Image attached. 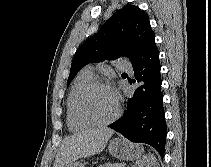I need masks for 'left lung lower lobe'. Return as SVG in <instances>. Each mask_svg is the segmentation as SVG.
<instances>
[{"label":"left lung lower lobe","mask_w":211,"mask_h":167,"mask_svg":"<svg viewBox=\"0 0 211 167\" xmlns=\"http://www.w3.org/2000/svg\"><path fill=\"white\" fill-rule=\"evenodd\" d=\"M137 84L134 94L127 102L123 117L109 127L136 143L154 147L163 157L167 135L158 48L143 62L133 67Z\"/></svg>","instance_id":"0a47b994"}]
</instances>
